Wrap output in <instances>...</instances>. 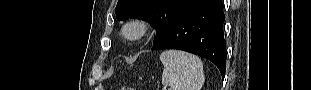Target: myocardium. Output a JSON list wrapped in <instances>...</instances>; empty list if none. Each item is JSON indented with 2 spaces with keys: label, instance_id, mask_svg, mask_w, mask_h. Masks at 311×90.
<instances>
[{
  "label": "myocardium",
  "instance_id": "f54148a6",
  "mask_svg": "<svg viewBox=\"0 0 311 90\" xmlns=\"http://www.w3.org/2000/svg\"><path fill=\"white\" fill-rule=\"evenodd\" d=\"M150 31V24L147 20L134 18L127 20L121 27L120 35L126 42H138L144 39Z\"/></svg>",
  "mask_w": 311,
  "mask_h": 90
}]
</instances>
